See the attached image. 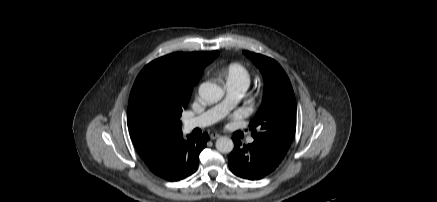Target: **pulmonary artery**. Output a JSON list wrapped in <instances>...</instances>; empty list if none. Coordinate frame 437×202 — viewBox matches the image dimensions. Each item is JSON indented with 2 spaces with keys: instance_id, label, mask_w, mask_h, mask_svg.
Segmentation results:
<instances>
[{
  "instance_id": "pulmonary-artery-1",
  "label": "pulmonary artery",
  "mask_w": 437,
  "mask_h": 202,
  "mask_svg": "<svg viewBox=\"0 0 437 202\" xmlns=\"http://www.w3.org/2000/svg\"><path fill=\"white\" fill-rule=\"evenodd\" d=\"M246 89L247 87L244 85L227 84L226 98L220 104L207 110L203 114L187 119L185 121V127L190 130L197 127H206L219 121L234 107L237 101L244 95ZM253 141L254 139L252 137L248 138L249 143Z\"/></svg>"
}]
</instances>
